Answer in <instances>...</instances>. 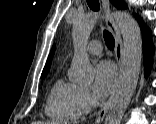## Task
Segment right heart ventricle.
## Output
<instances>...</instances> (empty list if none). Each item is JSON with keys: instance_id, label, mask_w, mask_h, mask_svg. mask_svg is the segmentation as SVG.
<instances>
[{"instance_id": "1", "label": "right heart ventricle", "mask_w": 156, "mask_h": 124, "mask_svg": "<svg viewBox=\"0 0 156 124\" xmlns=\"http://www.w3.org/2000/svg\"><path fill=\"white\" fill-rule=\"evenodd\" d=\"M80 88L72 83L57 80L51 87L45 106L46 115L52 120L68 123L79 117L77 99Z\"/></svg>"}]
</instances>
